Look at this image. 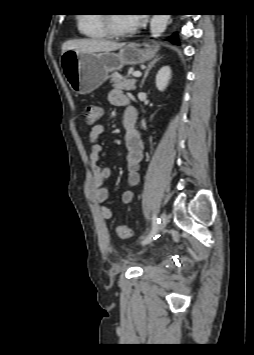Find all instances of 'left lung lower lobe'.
Instances as JSON below:
<instances>
[{
    "label": "left lung lower lobe",
    "instance_id": "obj_1",
    "mask_svg": "<svg viewBox=\"0 0 254 355\" xmlns=\"http://www.w3.org/2000/svg\"><path fill=\"white\" fill-rule=\"evenodd\" d=\"M169 40L172 41V42L178 43V37H177L176 34H174L173 36H171V38H170Z\"/></svg>",
    "mask_w": 254,
    "mask_h": 355
}]
</instances>
